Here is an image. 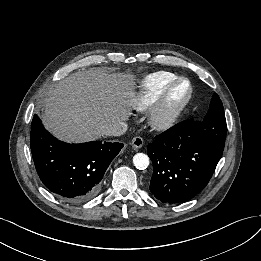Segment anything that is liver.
I'll return each mask as SVG.
<instances>
[{
    "instance_id": "6515ba94",
    "label": "liver",
    "mask_w": 261,
    "mask_h": 261,
    "mask_svg": "<svg viewBox=\"0 0 261 261\" xmlns=\"http://www.w3.org/2000/svg\"><path fill=\"white\" fill-rule=\"evenodd\" d=\"M134 77L92 68L71 74L51 88L44 100L46 129L66 142L101 137L100 130L128 120L135 104Z\"/></svg>"
}]
</instances>
